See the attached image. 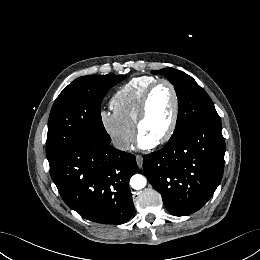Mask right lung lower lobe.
Here are the masks:
<instances>
[{
    "label": "right lung lower lobe",
    "instance_id": "obj_1",
    "mask_svg": "<svg viewBox=\"0 0 260 260\" xmlns=\"http://www.w3.org/2000/svg\"><path fill=\"white\" fill-rule=\"evenodd\" d=\"M49 165L62 199L85 219L122 224L131 218L128 183L138 170L134 155L86 141L67 148Z\"/></svg>",
    "mask_w": 260,
    "mask_h": 260
}]
</instances>
